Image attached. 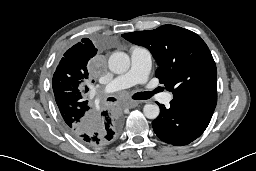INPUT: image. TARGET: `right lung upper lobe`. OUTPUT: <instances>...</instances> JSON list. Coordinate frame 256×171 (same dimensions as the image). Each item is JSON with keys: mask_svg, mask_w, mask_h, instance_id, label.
Listing matches in <instances>:
<instances>
[{"mask_svg": "<svg viewBox=\"0 0 256 171\" xmlns=\"http://www.w3.org/2000/svg\"><path fill=\"white\" fill-rule=\"evenodd\" d=\"M96 53L97 49L92 42L88 38H83L81 42L67 50L61 60L71 62L78 74V78L81 77V80H85L88 78L86 65L89 59L95 56ZM54 75L52 86L60 114L67 128L72 133L76 132L89 124L91 120V106L86 101L68 96L60 85L57 77L58 73L55 72ZM86 89L87 91L89 90L87 87Z\"/></svg>", "mask_w": 256, "mask_h": 171, "instance_id": "1", "label": "right lung upper lobe"}]
</instances>
